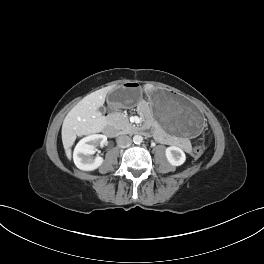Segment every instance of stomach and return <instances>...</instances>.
I'll return each mask as SVG.
<instances>
[{"instance_id":"0dacf381","label":"stomach","mask_w":264,"mask_h":264,"mask_svg":"<svg viewBox=\"0 0 264 264\" xmlns=\"http://www.w3.org/2000/svg\"><path fill=\"white\" fill-rule=\"evenodd\" d=\"M136 88L121 85L110 92L109 104L114 108H129L139 105L134 96ZM147 107L153 118L167 132L178 137H198L204 131V117L185 97L166 89L154 88L147 92Z\"/></svg>"}]
</instances>
